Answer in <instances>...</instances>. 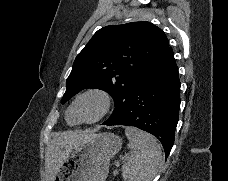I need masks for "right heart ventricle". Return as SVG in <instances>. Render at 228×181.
Segmentation results:
<instances>
[{
  "instance_id": "obj_1",
  "label": "right heart ventricle",
  "mask_w": 228,
  "mask_h": 181,
  "mask_svg": "<svg viewBox=\"0 0 228 181\" xmlns=\"http://www.w3.org/2000/svg\"><path fill=\"white\" fill-rule=\"evenodd\" d=\"M68 120L71 123H74L76 121V115L72 108L68 111Z\"/></svg>"
}]
</instances>
